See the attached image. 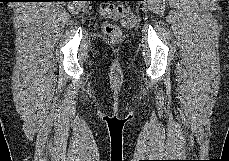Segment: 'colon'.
<instances>
[{
	"instance_id": "colon-1",
	"label": "colon",
	"mask_w": 229,
	"mask_h": 161,
	"mask_svg": "<svg viewBox=\"0 0 229 161\" xmlns=\"http://www.w3.org/2000/svg\"><path fill=\"white\" fill-rule=\"evenodd\" d=\"M100 13L107 18L122 17L127 14V9L124 5H115L104 3L100 5ZM102 30L105 34L113 39H118L121 36V29L114 23L104 22Z\"/></svg>"
}]
</instances>
